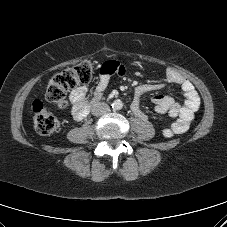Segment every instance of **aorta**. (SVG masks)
Listing matches in <instances>:
<instances>
[{
	"instance_id": "aorta-1",
	"label": "aorta",
	"mask_w": 227,
	"mask_h": 227,
	"mask_svg": "<svg viewBox=\"0 0 227 227\" xmlns=\"http://www.w3.org/2000/svg\"><path fill=\"white\" fill-rule=\"evenodd\" d=\"M112 107L115 109V110H120L122 109L123 107V103L121 100H115L112 104Z\"/></svg>"
}]
</instances>
